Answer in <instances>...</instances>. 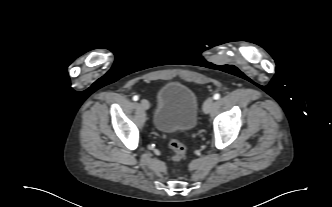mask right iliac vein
Instances as JSON below:
<instances>
[{
  "mask_svg": "<svg viewBox=\"0 0 332 207\" xmlns=\"http://www.w3.org/2000/svg\"><path fill=\"white\" fill-rule=\"evenodd\" d=\"M141 106L143 109L147 110V109H149L150 104L147 100L143 99V100H141Z\"/></svg>",
  "mask_w": 332,
  "mask_h": 207,
  "instance_id": "right-iliac-vein-1",
  "label": "right iliac vein"
}]
</instances>
